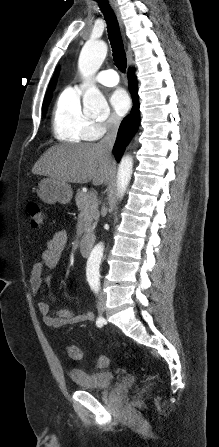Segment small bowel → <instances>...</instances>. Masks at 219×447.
<instances>
[{
    "mask_svg": "<svg viewBox=\"0 0 219 447\" xmlns=\"http://www.w3.org/2000/svg\"><path fill=\"white\" fill-rule=\"evenodd\" d=\"M66 243V233L64 231L56 232L48 240L40 259L33 264L29 275V286L34 295L39 293L44 283H50L51 277L48 270L55 268L60 263ZM50 298L51 300L54 299L52 295H50ZM38 309L44 323L50 328H60L94 320V314L90 311L74 313L68 309L60 308L53 312L50 303L47 302L38 303Z\"/></svg>",
    "mask_w": 219,
    "mask_h": 447,
    "instance_id": "small-bowel-1",
    "label": "small bowel"
}]
</instances>
